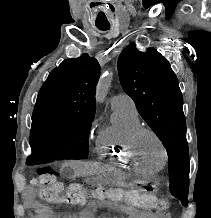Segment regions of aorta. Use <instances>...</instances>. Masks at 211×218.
Listing matches in <instances>:
<instances>
[{"instance_id": "762f6f07", "label": "aorta", "mask_w": 211, "mask_h": 218, "mask_svg": "<svg viewBox=\"0 0 211 218\" xmlns=\"http://www.w3.org/2000/svg\"><path fill=\"white\" fill-rule=\"evenodd\" d=\"M111 74H106L105 76L101 77L99 79L97 89H96V100L100 103L103 102L107 91L109 89L110 83H111Z\"/></svg>"}]
</instances>
